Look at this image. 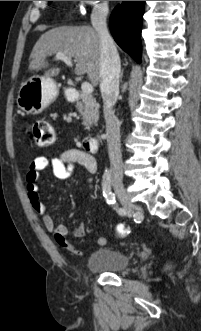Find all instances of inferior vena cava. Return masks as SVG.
Here are the masks:
<instances>
[{"mask_svg":"<svg viewBox=\"0 0 201 331\" xmlns=\"http://www.w3.org/2000/svg\"><path fill=\"white\" fill-rule=\"evenodd\" d=\"M107 14V8L99 7L93 12L91 22L101 41L100 90L103 99L111 173L122 179L120 122L113 111V106L119 95L121 65L116 46L107 29Z\"/></svg>","mask_w":201,"mask_h":331,"instance_id":"obj_1","label":"inferior vena cava"}]
</instances>
